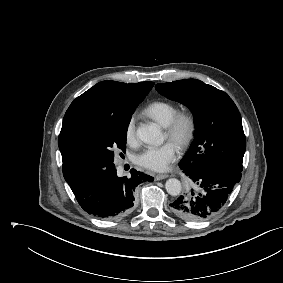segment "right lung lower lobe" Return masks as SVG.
<instances>
[{
	"label": "right lung lower lobe",
	"mask_w": 283,
	"mask_h": 283,
	"mask_svg": "<svg viewBox=\"0 0 283 283\" xmlns=\"http://www.w3.org/2000/svg\"><path fill=\"white\" fill-rule=\"evenodd\" d=\"M130 172V177H118L113 165L92 171L69 185L84 211L99 218H117L131 211L138 184L153 181L135 169Z\"/></svg>",
	"instance_id": "1"
}]
</instances>
